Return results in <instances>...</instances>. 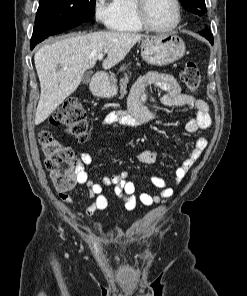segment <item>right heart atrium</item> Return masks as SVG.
Wrapping results in <instances>:
<instances>
[{
  "instance_id": "obj_1",
  "label": "right heart atrium",
  "mask_w": 247,
  "mask_h": 296,
  "mask_svg": "<svg viewBox=\"0 0 247 296\" xmlns=\"http://www.w3.org/2000/svg\"><path fill=\"white\" fill-rule=\"evenodd\" d=\"M93 15L97 23L111 27L116 17L114 0H93Z\"/></svg>"
}]
</instances>
